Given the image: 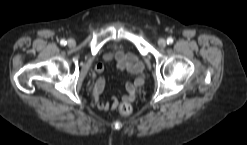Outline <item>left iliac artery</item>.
<instances>
[{
  "label": "left iliac artery",
  "instance_id": "obj_1",
  "mask_svg": "<svg viewBox=\"0 0 247 145\" xmlns=\"http://www.w3.org/2000/svg\"><path fill=\"white\" fill-rule=\"evenodd\" d=\"M173 43V39L171 38V37H169L168 39H167V44H172Z\"/></svg>",
  "mask_w": 247,
  "mask_h": 145
}]
</instances>
